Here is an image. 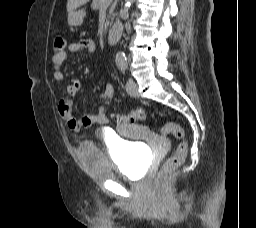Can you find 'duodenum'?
<instances>
[{
  "label": "duodenum",
  "instance_id": "obj_1",
  "mask_svg": "<svg viewBox=\"0 0 256 228\" xmlns=\"http://www.w3.org/2000/svg\"><path fill=\"white\" fill-rule=\"evenodd\" d=\"M123 33V27L121 26V24H115L108 32L107 35V42L110 45H114L116 44Z\"/></svg>",
  "mask_w": 256,
  "mask_h": 228
}]
</instances>
